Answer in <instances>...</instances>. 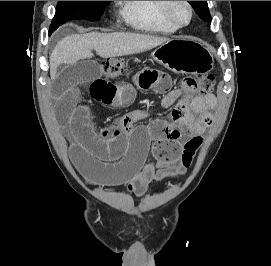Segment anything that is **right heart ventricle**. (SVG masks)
Segmentation results:
<instances>
[{"instance_id": "e07e8e85", "label": "right heart ventricle", "mask_w": 271, "mask_h": 266, "mask_svg": "<svg viewBox=\"0 0 271 266\" xmlns=\"http://www.w3.org/2000/svg\"><path fill=\"white\" fill-rule=\"evenodd\" d=\"M119 4L122 17L135 29L161 33L178 30L165 14V1H119Z\"/></svg>"}]
</instances>
